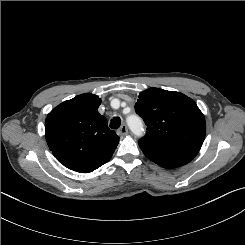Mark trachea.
<instances>
[{
    "mask_svg": "<svg viewBox=\"0 0 245 245\" xmlns=\"http://www.w3.org/2000/svg\"><path fill=\"white\" fill-rule=\"evenodd\" d=\"M121 125V119L119 117H114L110 122V128L118 129Z\"/></svg>",
    "mask_w": 245,
    "mask_h": 245,
    "instance_id": "3493384b",
    "label": "trachea"
}]
</instances>
